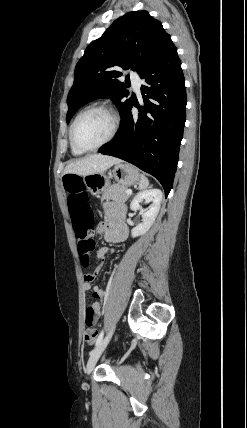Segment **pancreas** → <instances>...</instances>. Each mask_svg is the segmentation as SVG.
Masks as SVG:
<instances>
[{
    "label": "pancreas",
    "mask_w": 247,
    "mask_h": 428,
    "mask_svg": "<svg viewBox=\"0 0 247 428\" xmlns=\"http://www.w3.org/2000/svg\"><path fill=\"white\" fill-rule=\"evenodd\" d=\"M126 190L127 187L120 184L108 186L102 194V200H113L123 203L129 198V194L126 193Z\"/></svg>",
    "instance_id": "1"
}]
</instances>
